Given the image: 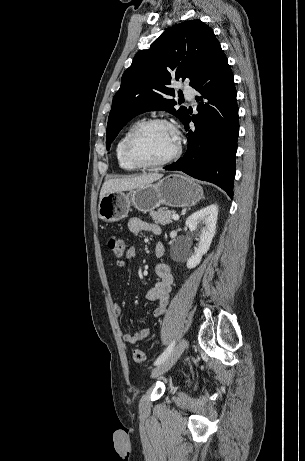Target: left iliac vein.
<instances>
[{"label": "left iliac vein", "mask_w": 305, "mask_h": 461, "mask_svg": "<svg viewBox=\"0 0 305 461\" xmlns=\"http://www.w3.org/2000/svg\"><path fill=\"white\" fill-rule=\"evenodd\" d=\"M187 346L186 339H182L176 347L172 350L169 356L157 367L152 370L151 376L158 377L168 371L179 359L180 355L183 353Z\"/></svg>", "instance_id": "4c4485c4"}]
</instances>
